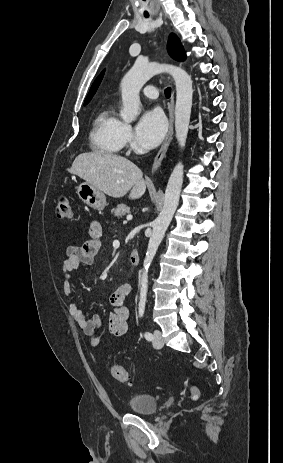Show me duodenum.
Listing matches in <instances>:
<instances>
[{
  "mask_svg": "<svg viewBox=\"0 0 283 463\" xmlns=\"http://www.w3.org/2000/svg\"><path fill=\"white\" fill-rule=\"evenodd\" d=\"M140 260L139 251L134 249L130 254V263L132 266H137Z\"/></svg>",
  "mask_w": 283,
  "mask_h": 463,
  "instance_id": "410a0bca",
  "label": "duodenum"
}]
</instances>
